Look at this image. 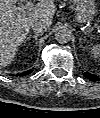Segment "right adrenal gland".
<instances>
[{
	"instance_id": "1",
	"label": "right adrenal gland",
	"mask_w": 100,
	"mask_h": 118,
	"mask_svg": "<svg viewBox=\"0 0 100 118\" xmlns=\"http://www.w3.org/2000/svg\"><path fill=\"white\" fill-rule=\"evenodd\" d=\"M41 35L42 34H40V33H34L33 35H32V33H30L27 37V40H30V38H34L37 41L38 37Z\"/></svg>"
}]
</instances>
